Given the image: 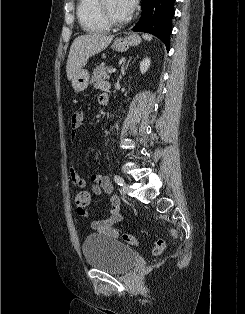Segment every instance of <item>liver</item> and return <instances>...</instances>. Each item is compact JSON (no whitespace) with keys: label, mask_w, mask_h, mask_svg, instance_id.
I'll list each match as a JSON object with an SVG mask.
<instances>
[{"label":"liver","mask_w":245,"mask_h":314,"mask_svg":"<svg viewBox=\"0 0 245 314\" xmlns=\"http://www.w3.org/2000/svg\"><path fill=\"white\" fill-rule=\"evenodd\" d=\"M113 35L89 33L75 38L73 41L66 65L68 80H72L87 60L108 47Z\"/></svg>","instance_id":"6515ba94"}]
</instances>
